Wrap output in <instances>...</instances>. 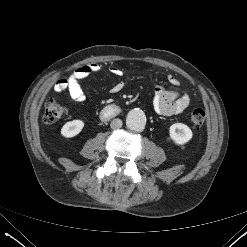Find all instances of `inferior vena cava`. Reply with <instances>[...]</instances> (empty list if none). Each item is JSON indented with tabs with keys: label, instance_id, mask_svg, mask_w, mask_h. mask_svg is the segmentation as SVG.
Here are the masks:
<instances>
[{
	"label": "inferior vena cava",
	"instance_id": "obj_1",
	"mask_svg": "<svg viewBox=\"0 0 247 247\" xmlns=\"http://www.w3.org/2000/svg\"><path fill=\"white\" fill-rule=\"evenodd\" d=\"M122 125H123L122 120L119 118L113 119L110 123V127L112 129H119L122 127Z\"/></svg>",
	"mask_w": 247,
	"mask_h": 247
}]
</instances>
